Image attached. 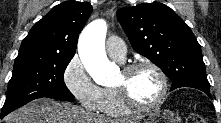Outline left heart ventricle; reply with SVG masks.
Wrapping results in <instances>:
<instances>
[{"label": "left heart ventricle", "instance_id": "1", "mask_svg": "<svg viewBox=\"0 0 221 123\" xmlns=\"http://www.w3.org/2000/svg\"><path fill=\"white\" fill-rule=\"evenodd\" d=\"M125 85L132 98L143 105L154 103L160 95L161 83L158 75L149 68L140 69L129 76L122 72L114 86Z\"/></svg>", "mask_w": 221, "mask_h": 123}]
</instances>
